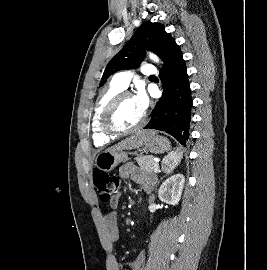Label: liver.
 Segmentation results:
<instances>
[{
	"mask_svg": "<svg viewBox=\"0 0 267 270\" xmlns=\"http://www.w3.org/2000/svg\"><path fill=\"white\" fill-rule=\"evenodd\" d=\"M155 134L152 130H141L137 131L135 134L121 140L117 144L111 146L107 149V151H115V150H131L136 149L144 145L146 140Z\"/></svg>",
	"mask_w": 267,
	"mask_h": 270,
	"instance_id": "6515ba94",
	"label": "liver"
}]
</instances>
